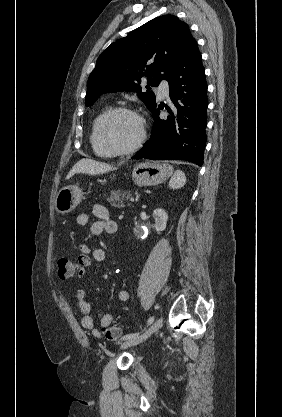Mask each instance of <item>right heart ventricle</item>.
<instances>
[{
    "instance_id": "right-heart-ventricle-1",
    "label": "right heart ventricle",
    "mask_w": 282,
    "mask_h": 417,
    "mask_svg": "<svg viewBox=\"0 0 282 417\" xmlns=\"http://www.w3.org/2000/svg\"><path fill=\"white\" fill-rule=\"evenodd\" d=\"M111 111L110 108H107L102 111V113L95 119L92 131V144L94 150L101 156H109L110 153L102 146L100 138V126L105 118V116Z\"/></svg>"
}]
</instances>
